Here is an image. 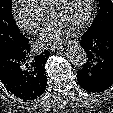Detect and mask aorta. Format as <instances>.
Wrapping results in <instances>:
<instances>
[{
    "label": "aorta",
    "instance_id": "1",
    "mask_svg": "<svg viewBox=\"0 0 113 113\" xmlns=\"http://www.w3.org/2000/svg\"><path fill=\"white\" fill-rule=\"evenodd\" d=\"M65 54L71 64L74 66L82 67L86 64L87 54L85 50L78 44L69 45Z\"/></svg>",
    "mask_w": 113,
    "mask_h": 113
}]
</instances>
